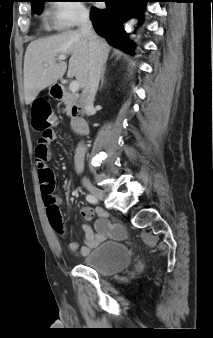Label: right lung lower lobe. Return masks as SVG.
Returning <instances> with one entry per match:
<instances>
[{
    "instance_id": "98d812e1",
    "label": "right lung lower lobe",
    "mask_w": 213,
    "mask_h": 338,
    "mask_svg": "<svg viewBox=\"0 0 213 338\" xmlns=\"http://www.w3.org/2000/svg\"><path fill=\"white\" fill-rule=\"evenodd\" d=\"M148 1L104 0L106 8L91 10V20L96 32L105 37L114 47L133 53L134 45L126 40L127 34L123 23L132 17L140 18Z\"/></svg>"
}]
</instances>
